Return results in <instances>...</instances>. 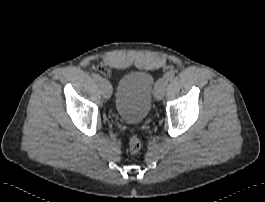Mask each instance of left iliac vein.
Masks as SVG:
<instances>
[{
    "label": "left iliac vein",
    "instance_id": "left-iliac-vein-1",
    "mask_svg": "<svg viewBox=\"0 0 265 202\" xmlns=\"http://www.w3.org/2000/svg\"><path fill=\"white\" fill-rule=\"evenodd\" d=\"M168 86V80L166 78H161L158 80L154 92V96L157 100H161Z\"/></svg>",
    "mask_w": 265,
    "mask_h": 202
}]
</instances>
